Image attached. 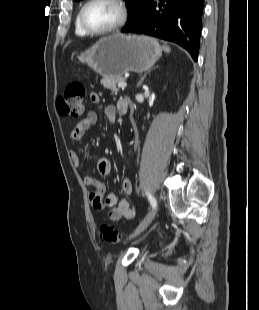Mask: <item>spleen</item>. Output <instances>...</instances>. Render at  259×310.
I'll use <instances>...</instances> for the list:
<instances>
[{
	"label": "spleen",
	"mask_w": 259,
	"mask_h": 310,
	"mask_svg": "<svg viewBox=\"0 0 259 310\" xmlns=\"http://www.w3.org/2000/svg\"><path fill=\"white\" fill-rule=\"evenodd\" d=\"M162 49H163L165 52H167V53L170 52V47H168V46H166V45H163V46H162Z\"/></svg>",
	"instance_id": "1"
}]
</instances>
